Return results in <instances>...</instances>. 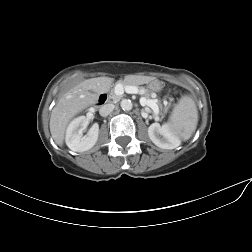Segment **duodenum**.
Listing matches in <instances>:
<instances>
[{
    "label": "duodenum",
    "instance_id": "duodenum-1",
    "mask_svg": "<svg viewBox=\"0 0 252 252\" xmlns=\"http://www.w3.org/2000/svg\"><path fill=\"white\" fill-rule=\"evenodd\" d=\"M108 95L106 93H103V94H100L98 99H97V102H96V105L98 107H101L103 105H105L107 102H108Z\"/></svg>",
    "mask_w": 252,
    "mask_h": 252
}]
</instances>
